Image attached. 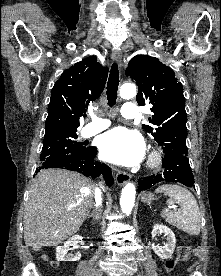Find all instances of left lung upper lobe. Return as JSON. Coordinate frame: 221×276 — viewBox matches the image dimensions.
Listing matches in <instances>:
<instances>
[{"instance_id":"5c2ea615","label":"left lung upper lobe","mask_w":221,"mask_h":276,"mask_svg":"<svg viewBox=\"0 0 221 276\" xmlns=\"http://www.w3.org/2000/svg\"><path fill=\"white\" fill-rule=\"evenodd\" d=\"M125 74L138 85V104L152 105L150 125H142V128L154 137L164 152L187 154L185 98L174 71L155 57L136 55Z\"/></svg>"}]
</instances>
